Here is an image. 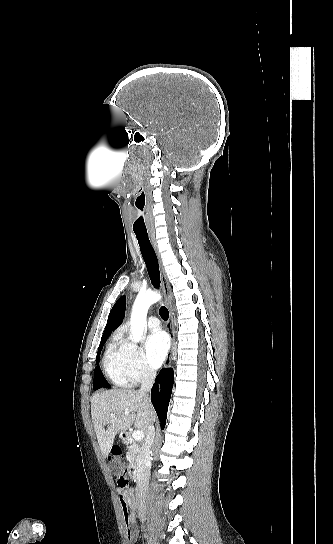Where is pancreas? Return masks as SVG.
I'll list each match as a JSON object with an SVG mask.
<instances>
[{"instance_id": "pancreas-1", "label": "pancreas", "mask_w": 333, "mask_h": 544, "mask_svg": "<svg viewBox=\"0 0 333 544\" xmlns=\"http://www.w3.org/2000/svg\"><path fill=\"white\" fill-rule=\"evenodd\" d=\"M128 443V451L126 453L127 460L129 463H133L134 461H137L138 455L140 452L139 444L134 440H127Z\"/></svg>"}]
</instances>
